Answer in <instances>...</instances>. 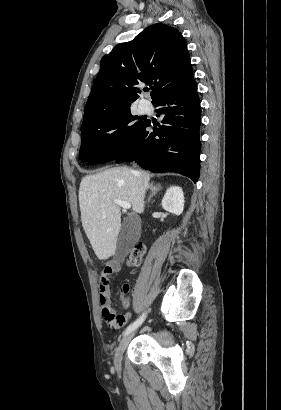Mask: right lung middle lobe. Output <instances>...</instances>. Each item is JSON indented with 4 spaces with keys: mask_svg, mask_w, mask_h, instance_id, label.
Wrapping results in <instances>:
<instances>
[{
    "mask_svg": "<svg viewBox=\"0 0 281 410\" xmlns=\"http://www.w3.org/2000/svg\"><path fill=\"white\" fill-rule=\"evenodd\" d=\"M136 120L138 117L131 114L130 107H126L82 124L81 161L98 164L116 159L146 123V120Z\"/></svg>",
    "mask_w": 281,
    "mask_h": 410,
    "instance_id": "dd1d6c3e",
    "label": "right lung middle lobe"
}]
</instances>
